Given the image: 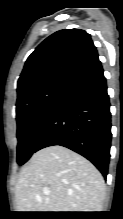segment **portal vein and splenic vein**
I'll list each match as a JSON object with an SVG mask.
<instances>
[{
  "mask_svg": "<svg viewBox=\"0 0 123 219\" xmlns=\"http://www.w3.org/2000/svg\"><path fill=\"white\" fill-rule=\"evenodd\" d=\"M45 194H46V195H49V194H50V192H49V191H45Z\"/></svg>",
  "mask_w": 123,
  "mask_h": 219,
  "instance_id": "1",
  "label": "portal vein and splenic vein"
}]
</instances>
